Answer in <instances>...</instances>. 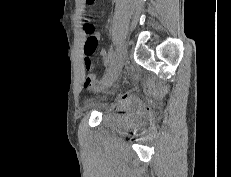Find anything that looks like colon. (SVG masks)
Returning <instances> with one entry per match:
<instances>
[{
    "instance_id": "colon-1",
    "label": "colon",
    "mask_w": 231,
    "mask_h": 177,
    "mask_svg": "<svg viewBox=\"0 0 231 177\" xmlns=\"http://www.w3.org/2000/svg\"><path fill=\"white\" fill-rule=\"evenodd\" d=\"M86 4H93L95 0H85ZM85 31L88 34V38L85 45V54L90 57L96 49L97 37L94 34L93 27L90 24H85Z\"/></svg>"
}]
</instances>
